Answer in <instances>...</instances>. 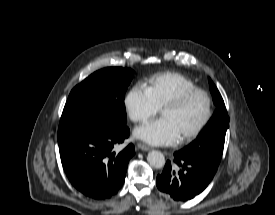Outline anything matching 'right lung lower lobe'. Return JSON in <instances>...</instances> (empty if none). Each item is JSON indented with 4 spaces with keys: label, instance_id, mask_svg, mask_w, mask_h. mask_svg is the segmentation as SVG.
Masks as SVG:
<instances>
[{
    "label": "right lung lower lobe",
    "instance_id": "98d812e1",
    "mask_svg": "<svg viewBox=\"0 0 275 215\" xmlns=\"http://www.w3.org/2000/svg\"><path fill=\"white\" fill-rule=\"evenodd\" d=\"M128 136L127 126L58 132L61 162L71 184L94 199L116 194L125 181L128 162L135 151L132 144L119 153L113 148Z\"/></svg>",
    "mask_w": 275,
    "mask_h": 215
}]
</instances>
